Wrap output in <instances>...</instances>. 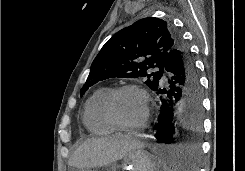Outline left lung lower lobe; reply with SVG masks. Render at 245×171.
I'll list each match as a JSON object with an SVG mask.
<instances>
[{"label":"left lung lower lobe","instance_id":"left-lung-lower-lobe-1","mask_svg":"<svg viewBox=\"0 0 245 171\" xmlns=\"http://www.w3.org/2000/svg\"><path fill=\"white\" fill-rule=\"evenodd\" d=\"M162 78L168 86L156 90L165 94V99L161 98L154 136L158 143L174 145L172 153L181 167H196L197 157H181L199 155V142L182 139L180 128H199L202 112L199 76L186 43L168 56Z\"/></svg>","mask_w":245,"mask_h":171}]
</instances>
